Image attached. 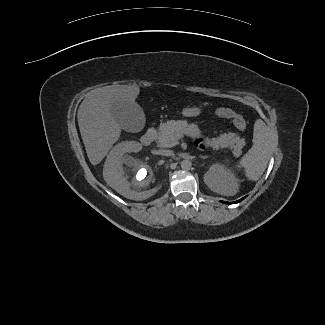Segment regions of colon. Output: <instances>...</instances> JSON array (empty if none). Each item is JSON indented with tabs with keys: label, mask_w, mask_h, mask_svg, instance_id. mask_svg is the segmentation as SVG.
<instances>
[{
	"label": "colon",
	"mask_w": 325,
	"mask_h": 325,
	"mask_svg": "<svg viewBox=\"0 0 325 325\" xmlns=\"http://www.w3.org/2000/svg\"><path fill=\"white\" fill-rule=\"evenodd\" d=\"M215 114L220 118L230 119L239 130H245L247 127L243 116L233 109L220 107L215 110Z\"/></svg>",
	"instance_id": "1"
}]
</instances>
